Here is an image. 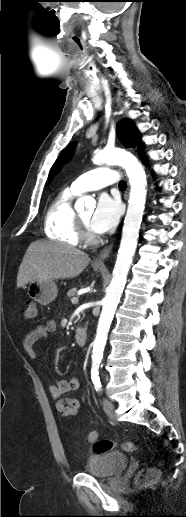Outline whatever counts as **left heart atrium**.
I'll return each instance as SVG.
<instances>
[{
  "mask_svg": "<svg viewBox=\"0 0 186 517\" xmlns=\"http://www.w3.org/2000/svg\"><path fill=\"white\" fill-rule=\"evenodd\" d=\"M121 215V204L118 199L107 194L100 196L96 209L90 220V227L96 233H105L113 229Z\"/></svg>",
  "mask_w": 186,
  "mask_h": 517,
  "instance_id": "left-heart-atrium-1",
  "label": "left heart atrium"
}]
</instances>
